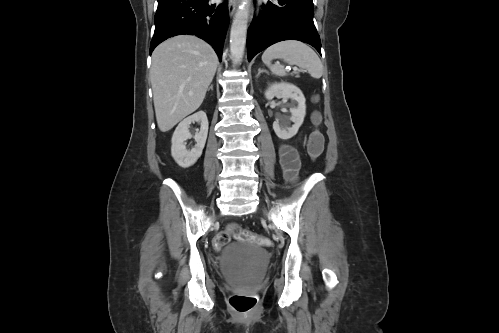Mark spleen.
Here are the masks:
<instances>
[{
    "instance_id": "obj_1",
    "label": "spleen",
    "mask_w": 499,
    "mask_h": 333,
    "mask_svg": "<svg viewBox=\"0 0 499 333\" xmlns=\"http://www.w3.org/2000/svg\"><path fill=\"white\" fill-rule=\"evenodd\" d=\"M273 59H281L286 63L295 64L306 69L311 77L319 79L323 74V64L318 55L306 44L287 40L267 48L262 54L263 63L276 76H286V70L278 63L272 65Z\"/></svg>"
}]
</instances>
